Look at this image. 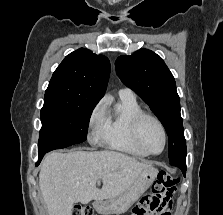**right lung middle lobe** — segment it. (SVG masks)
<instances>
[{
	"instance_id": "1",
	"label": "right lung middle lobe",
	"mask_w": 223,
	"mask_h": 215,
	"mask_svg": "<svg viewBox=\"0 0 223 215\" xmlns=\"http://www.w3.org/2000/svg\"><path fill=\"white\" fill-rule=\"evenodd\" d=\"M95 105L44 101L38 154L84 142Z\"/></svg>"
}]
</instances>
